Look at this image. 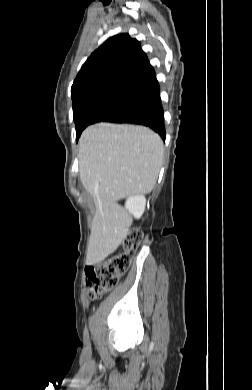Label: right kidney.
Instances as JSON below:
<instances>
[{
  "label": "right kidney",
  "instance_id": "ca27d5eb",
  "mask_svg": "<svg viewBox=\"0 0 252 390\" xmlns=\"http://www.w3.org/2000/svg\"><path fill=\"white\" fill-rule=\"evenodd\" d=\"M146 198L144 195H134L127 198L125 207L126 209L133 214V216L139 219L145 210Z\"/></svg>",
  "mask_w": 252,
  "mask_h": 390
}]
</instances>
